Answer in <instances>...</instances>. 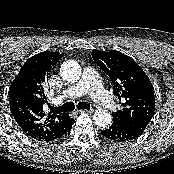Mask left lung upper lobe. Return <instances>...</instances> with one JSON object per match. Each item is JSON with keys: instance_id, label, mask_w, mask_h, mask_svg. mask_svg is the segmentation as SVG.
Instances as JSON below:
<instances>
[{"instance_id": "left-lung-upper-lobe-1", "label": "left lung upper lobe", "mask_w": 174, "mask_h": 174, "mask_svg": "<svg viewBox=\"0 0 174 174\" xmlns=\"http://www.w3.org/2000/svg\"><path fill=\"white\" fill-rule=\"evenodd\" d=\"M91 55L109 76L122 106L113 113V120L144 131L155 110L154 88L148 76L132 58L119 51H92Z\"/></svg>"}]
</instances>
